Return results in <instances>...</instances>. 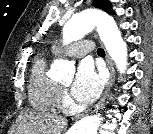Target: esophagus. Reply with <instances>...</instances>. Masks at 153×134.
Masks as SVG:
<instances>
[{"instance_id":"34e87169","label":"esophagus","mask_w":153,"mask_h":134,"mask_svg":"<svg viewBox=\"0 0 153 134\" xmlns=\"http://www.w3.org/2000/svg\"><path fill=\"white\" fill-rule=\"evenodd\" d=\"M106 62H107V66H108V69H109V72H110L109 81H108L106 89H105L102 97L98 101V103L95 104V106L92 107L89 110L90 113L98 111L103 106V104L105 102V99H106L107 95L109 94V92H110V90H111V88L113 86V83H114L115 70H114V66H113L112 60L110 59V57L108 55H106ZM77 118H79V116Z\"/></svg>"}]
</instances>
